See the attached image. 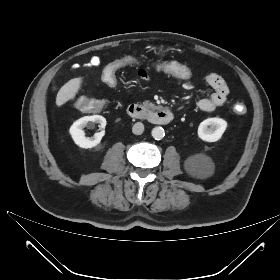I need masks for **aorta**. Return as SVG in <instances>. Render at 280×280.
<instances>
[{"mask_svg":"<svg viewBox=\"0 0 280 280\" xmlns=\"http://www.w3.org/2000/svg\"><path fill=\"white\" fill-rule=\"evenodd\" d=\"M151 134L155 140H161L164 137L165 132L162 127H155L152 129Z\"/></svg>","mask_w":280,"mask_h":280,"instance_id":"obj_1","label":"aorta"}]
</instances>
